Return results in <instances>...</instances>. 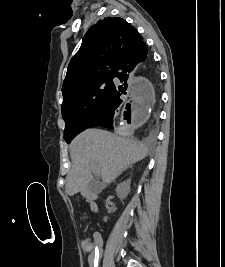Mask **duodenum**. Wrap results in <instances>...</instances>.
Returning <instances> with one entry per match:
<instances>
[{
  "label": "duodenum",
  "instance_id": "410a0bca",
  "mask_svg": "<svg viewBox=\"0 0 225 267\" xmlns=\"http://www.w3.org/2000/svg\"><path fill=\"white\" fill-rule=\"evenodd\" d=\"M91 206H92V209H93V210H96V205H95V203H94V202L92 203V205H91Z\"/></svg>",
  "mask_w": 225,
  "mask_h": 267
}]
</instances>
